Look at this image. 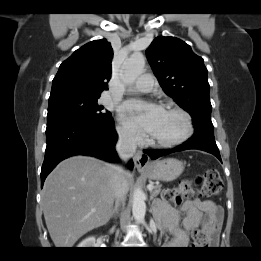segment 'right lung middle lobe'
Wrapping results in <instances>:
<instances>
[{
	"instance_id": "right-lung-middle-lobe-1",
	"label": "right lung middle lobe",
	"mask_w": 261,
	"mask_h": 261,
	"mask_svg": "<svg viewBox=\"0 0 261 261\" xmlns=\"http://www.w3.org/2000/svg\"><path fill=\"white\" fill-rule=\"evenodd\" d=\"M100 96H90L77 92H59L49 97L47 122L65 118H83L96 121L111 119V113L101 112L98 105Z\"/></svg>"
}]
</instances>
